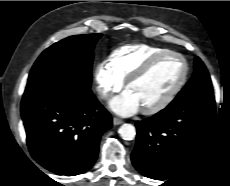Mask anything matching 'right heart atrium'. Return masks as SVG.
Instances as JSON below:
<instances>
[{
    "label": "right heart atrium",
    "instance_id": "right-heart-atrium-1",
    "mask_svg": "<svg viewBox=\"0 0 230 186\" xmlns=\"http://www.w3.org/2000/svg\"><path fill=\"white\" fill-rule=\"evenodd\" d=\"M94 79L96 90L102 99H109L113 94L121 91L124 84L106 61L97 63Z\"/></svg>",
    "mask_w": 230,
    "mask_h": 186
}]
</instances>
